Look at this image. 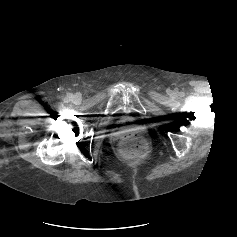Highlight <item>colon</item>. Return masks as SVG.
<instances>
[{"instance_id":"5ec220e1","label":"colon","mask_w":237,"mask_h":237,"mask_svg":"<svg viewBox=\"0 0 237 237\" xmlns=\"http://www.w3.org/2000/svg\"><path fill=\"white\" fill-rule=\"evenodd\" d=\"M119 153L130 159L145 157L149 152V145L138 132H127L121 139L118 147Z\"/></svg>"}]
</instances>
